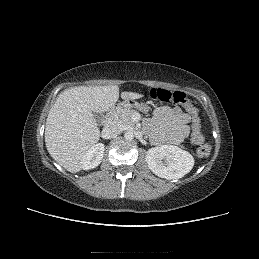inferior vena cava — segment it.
Listing matches in <instances>:
<instances>
[{
  "mask_svg": "<svg viewBox=\"0 0 259 259\" xmlns=\"http://www.w3.org/2000/svg\"><path fill=\"white\" fill-rule=\"evenodd\" d=\"M122 132V127L118 123L111 122L103 129V134L107 137H114Z\"/></svg>",
  "mask_w": 259,
  "mask_h": 259,
  "instance_id": "inferior-vena-cava-1",
  "label": "inferior vena cava"
}]
</instances>
